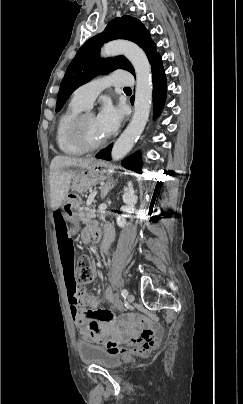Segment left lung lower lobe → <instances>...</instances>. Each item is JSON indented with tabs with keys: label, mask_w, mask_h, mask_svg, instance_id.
Segmentation results:
<instances>
[{
	"label": "left lung lower lobe",
	"mask_w": 243,
	"mask_h": 404,
	"mask_svg": "<svg viewBox=\"0 0 243 404\" xmlns=\"http://www.w3.org/2000/svg\"><path fill=\"white\" fill-rule=\"evenodd\" d=\"M152 79H153V106L154 116H158L161 112L166 98V76L162 66L160 55L156 56L151 62ZM113 144L102 149L97 158L110 160L111 149ZM122 165L130 170L140 172V158L138 154H134L122 161Z\"/></svg>",
	"instance_id": "left-lung-lower-lobe-1"
}]
</instances>
